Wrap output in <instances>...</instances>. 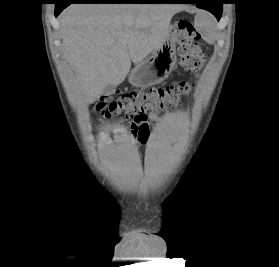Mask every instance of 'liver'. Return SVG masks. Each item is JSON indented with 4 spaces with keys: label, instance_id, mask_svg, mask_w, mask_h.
<instances>
[{
    "label": "liver",
    "instance_id": "6515ba94",
    "mask_svg": "<svg viewBox=\"0 0 279 267\" xmlns=\"http://www.w3.org/2000/svg\"><path fill=\"white\" fill-rule=\"evenodd\" d=\"M171 4H73L60 17L63 57L77 75L85 100L120 85L168 36Z\"/></svg>",
    "mask_w": 279,
    "mask_h": 267
}]
</instances>
